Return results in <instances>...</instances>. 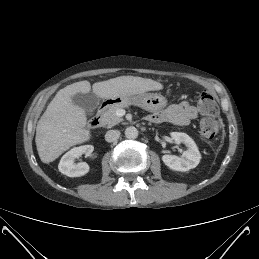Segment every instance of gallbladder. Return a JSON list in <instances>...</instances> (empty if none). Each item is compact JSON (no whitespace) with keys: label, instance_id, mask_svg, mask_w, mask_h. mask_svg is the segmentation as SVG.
<instances>
[{"label":"gallbladder","instance_id":"obj_1","mask_svg":"<svg viewBox=\"0 0 259 259\" xmlns=\"http://www.w3.org/2000/svg\"><path fill=\"white\" fill-rule=\"evenodd\" d=\"M72 102L76 106L81 107L86 115L92 116L98 106L99 99L92 92L76 93L72 96Z\"/></svg>","mask_w":259,"mask_h":259}]
</instances>
